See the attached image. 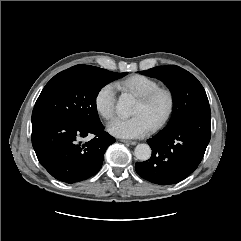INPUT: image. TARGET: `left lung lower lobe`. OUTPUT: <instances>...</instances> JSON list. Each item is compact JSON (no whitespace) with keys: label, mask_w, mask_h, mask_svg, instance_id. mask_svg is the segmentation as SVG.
I'll return each mask as SVG.
<instances>
[{"label":"left lung lower lobe","mask_w":241,"mask_h":241,"mask_svg":"<svg viewBox=\"0 0 241 241\" xmlns=\"http://www.w3.org/2000/svg\"><path fill=\"white\" fill-rule=\"evenodd\" d=\"M211 137V115H201L171 129H163L147 140L151 158L137 162L144 179L159 185L175 184L187 178L200 164Z\"/></svg>","instance_id":"1"}]
</instances>
